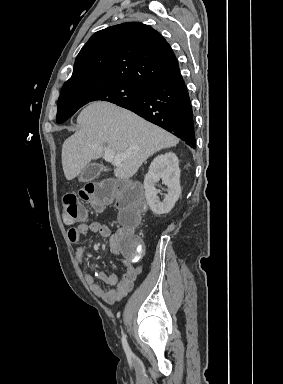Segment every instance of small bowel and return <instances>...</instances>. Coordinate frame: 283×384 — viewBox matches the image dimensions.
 I'll return each mask as SVG.
<instances>
[{"label":"small bowel","mask_w":283,"mask_h":384,"mask_svg":"<svg viewBox=\"0 0 283 384\" xmlns=\"http://www.w3.org/2000/svg\"><path fill=\"white\" fill-rule=\"evenodd\" d=\"M88 233L96 234L103 238L110 239V248L112 253H118V245L115 235L106 224L93 221L90 223H81L68 231V238L73 243H79ZM86 248L79 246L76 250V256L80 263H84ZM125 272L119 277L116 273H106L101 271L96 275L89 272L85 273V280L90 286L91 291L101 298L107 304H115L122 300L134 287V282L141 274L142 268L134 266L131 260L125 259ZM104 285L108 287H104Z\"/></svg>","instance_id":"1"}]
</instances>
